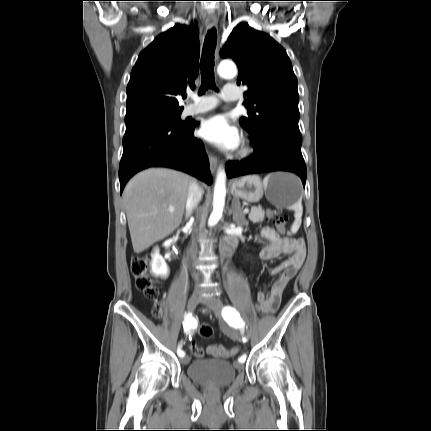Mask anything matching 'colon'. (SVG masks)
I'll use <instances>...</instances> for the list:
<instances>
[{
  "mask_svg": "<svg viewBox=\"0 0 431 431\" xmlns=\"http://www.w3.org/2000/svg\"><path fill=\"white\" fill-rule=\"evenodd\" d=\"M266 214L268 218L274 219L275 227L280 233H284L286 231L287 219H276V212L272 209H268ZM151 258L152 257L150 255L144 257H134L131 260L130 269L132 275L135 278L136 288L143 292L148 299L156 300L158 296V288L154 285L149 272ZM255 311L257 312V315L262 314L261 305H259V302H255ZM160 313V305L155 304L153 308V314L155 316H159ZM198 333L202 338H210L213 335V328L209 323L203 322L198 328ZM189 344V354L192 355V358L194 360L203 359L204 350L201 348V345L194 341H189ZM239 346H242V343L238 341L235 347H230V350H228V353H226V358H234L239 353Z\"/></svg>",
  "mask_w": 431,
  "mask_h": 431,
  "instance_id": "colon-1",
  "label": "colon"
}]
</instances>
